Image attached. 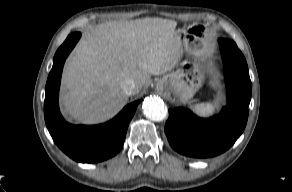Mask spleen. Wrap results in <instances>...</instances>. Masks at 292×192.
I'll list each match as a JSON object with an SVG mask.
<instances>
[{
    "label": "spleen",
    "mask_w": 292,
    "mask_h": 192,
    "mask_svg": "<svg viewBox=\"0 0 292 192\" xmlns=\"http://www.w3.org/2000/svg\"><path fill=\"white\" fill-rule=\"evenodd\" d=\"M191 107L200 116H205V115H209V114H212L213 112H215V109L217 106L213 103L206 102V103H198V104H195Z\"/></svg>",
    "instance_id": "obj_1"
}]
</instances>
